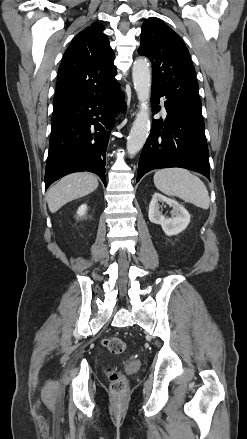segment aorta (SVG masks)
I'll use <instances>...</instances> for the list:
<instances>
[{
  "instance_id": "obj_1",
  "label": "aorta",
  "mask_w": 247,
  "mask_h": 439,
  "mask_svg": "<svg viewBox=\"0 0 247 439\" xmlns=\"http://www.w3.org/2000/svg\"><path fill=\"white\" fill-rule=\"evenodd\" d=\"M134 88L140 103L139 112L127 139V152L136 155L145 144L150 132L149 98L151 90L150 64L146 58H138L132 67Z\"/></svg>"
}]
</instances>
